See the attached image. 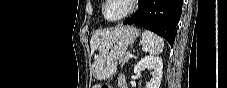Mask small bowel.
Wrapping results in <instances>:
<instances>
[{"mask_svg": "<svg viewBox=\"0 0 227 88\" xmlns=\"http://www.w3.org/2000/svg\"><path fill=\"white\" fill-rule=\"evenodd\" d=\"M117 87L119 88H128V84L126 78L124 76H120L117 80Z\"/></svg>", "mask_w": 227, "mask_h": 88, "instance_id": "1", "label": "small bowel"}]
</instances>
